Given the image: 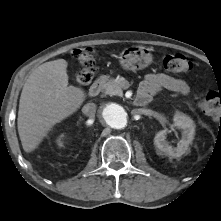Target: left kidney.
Listing matches in <instances>:
<instances>
[{"instance_id":"1","label":"left kidney","mask_w":221,"mask_h":221,"mask_svg":"<svg viewBox=\"0 0 221 221\" xmlns=\"http://www.w3.org/2000/svg\"><path fill=\"white\" fill-rule=\"evenodd\" d=\"M172 126L182 130V138L178 142L177 147L171 146L166 140V130H161L156 134L154 144L162 153L172 157H180L188 150L189 144L194 139L195 125L189 116L182 112H176Z\"/></svg>"}]
</instances>
